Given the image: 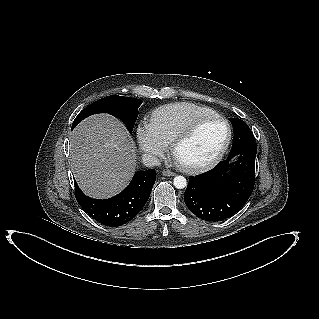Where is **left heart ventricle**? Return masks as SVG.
<instances>
[{"instance_id":"1","label":"left heart ventricle","mask_w":319,"mask_h":319,"mask_svg":"<svg viewBox=\"0 0 319 319\" xmlns=\"http://www.w3.org/2000/svg\"><path fill=\"white\" fill-rule=\"evenodd\" d=\"M226 137V127L219 120L202 123L193 135L178 146L175 156L185 164H199L215 155Z\"/></svg>"}]
</instances>
